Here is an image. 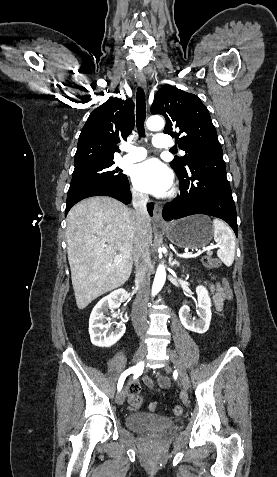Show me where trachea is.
Listing matches in <instances>:
<instances>
[{"instance_id":"3493384b","label":"trachea","mask_w":277,"mask_h":477,"mask_svg":"<svg viewBox=\"0 0 277 477\" xmlns=\"http://www.w3.org/2000/svg\"><path fill=\"white\" fill-rule=\"evenodd\" d=\"M146 119V103H145V93L142 88L137 89L136 94V126L139 133V136L144 135V122ZM175 152V150H171Z\"/></svg>"}]
</instances>
